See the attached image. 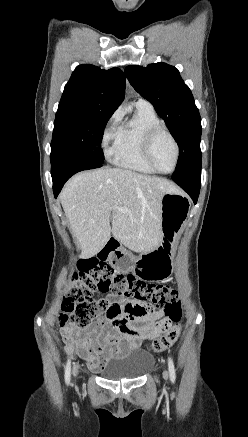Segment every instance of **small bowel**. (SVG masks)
Wrapping results in <instances>:
<instances>
[{"label":"small bowel","instance_id":"c3829d8e","mask_svg":"<svg viewBox=\"0 0 248 437\" xmlns=\"http://www.w3.org/2000/svg\"><path fill=\"white\" fill-rule=\"evenodd\" d=\"M106 318L88 329L67 326L61 334L70 348L77 349L93 370H101L113 357H122L137 349L142 341L164 332V310L142 301L130 299L129 294H110Z\"/></svg>","mask_w":248,"mask_h":437}]
</instances>
